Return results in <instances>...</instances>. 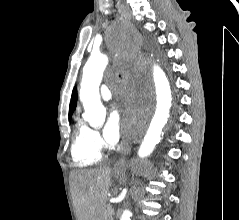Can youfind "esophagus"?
Wrapping results in <instances>:
<instances>
[{
    "instance_id": "34e87169",
    "label": "esophagus",
    "mask_w": 239,
    "mask_h": 220,
    "mask_svg": "<svg viewBox=\"0 0 239 220\" xmlns=\"http://www.w3.org/2000/svg\"><path fill=\"white\" fill-rule=\"evenodd\" d=\"M117 7L120 13H125V9L122 5L121 0H117ZM129 148L125 149V153L118 159V161L114 165V170L118 171L124 168L126 163V154L129 152Z\"/></svg>"
}]
</instances>
